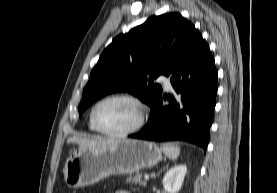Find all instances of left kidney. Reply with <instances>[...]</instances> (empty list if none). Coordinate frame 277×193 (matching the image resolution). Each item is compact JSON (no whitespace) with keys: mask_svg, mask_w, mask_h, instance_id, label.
<instances>
[{"mask_svg":"<svg viewBox=\"0 0 277 193\" xmlns=\"http://www.w3.org/2000/svg\"><path fill=\"white\" fill-rule=\"evenodd\" d=\"M186 172V164H178L170 168L162 180L164 189L168 193H177L183 184Z\"/></svg>","mask_w":277,"mask_h":193,"instance_id":"obj_1","label":"left kidney"}]
</instances>
